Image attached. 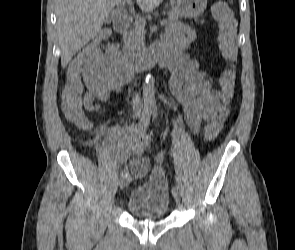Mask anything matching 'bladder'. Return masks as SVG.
<instances>
[{"label": "bladder", "instance_id": "1", "mask_svg": "<svg viewBox=\"0 0 295 250\" xmlns=\"http://www.w3.org/2000/svg\"><path fill=\"white\" fill-rule=\"evenodd\" d=\"M126 208L133 217L142 220H160L167 216L170 194L161 169L151 171L142 183L131 190Z\"/></svg>", "mask_w": 295, "mask_h": 250}]
</instances>
